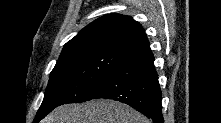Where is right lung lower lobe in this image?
<instances>
[{"label":"right lung lower lobe","instance_id":"right-lung-lower-lobe-1","mask_svg":"<svg viewBox=\"0 0 221 123\" xmlns=\"http://www.w3.org/2000/svg\"><path fill=\"white\" fill-rule=\"evenodd\" d=\"M97 98L123 102L155 123H163L162 93L151 50L129 57L100 80L89 100Z\"/></svg>","mask_w":221,"mask_h":123}]
</instances>
